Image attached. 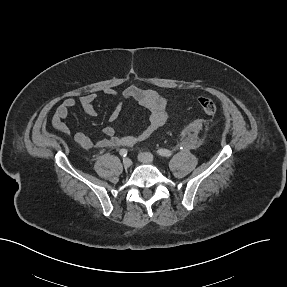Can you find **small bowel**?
I'll list each match as a JSON object with an SVG mask.
<instances>
[{
	"label": "small bowel",
	"mask_w": 287,
	"mask_h": 287,
	"mask_svg": "<svg viewBox=\"0 0 287 287\" xmlns=\"http://www.w3.org/2000/svg\"><path fill=\"white\" fill-rule=\"evenodd\" d=\"M102 93L105 95L118 97L120 102L109 116V121L112 124L103 129V138L93 140L89 135L82 131H79L73 135L74 142L82 148L131 147L134 144L150 137L156 130L165 124L168 118V101L157 91L142 89L135 85H130L122 92H118L112 88H105L102 90ZM97 96L98 94L96 92H91L78 97V99L72 97L64 99L56 109L53 116L54 126L65 136H71V130L66 124V119L70 110L74 108L78 102L87 115L94 116L96 114L94 101L96 100ZM125 100L133 101L144 107L149 112V121L146 127L135 135L118 136L115 123L122 114L123 101Z\"/></svg>",
	"instance_id": "small-bowel-1"
}]
</instances>
